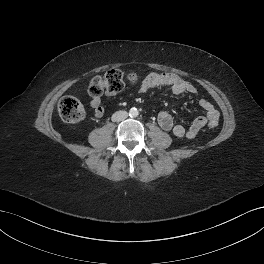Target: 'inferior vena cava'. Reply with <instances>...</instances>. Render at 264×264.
Masks as SVG:
<instances>
[{
    "instance_id": "inferior-vena-cava-1",
    "label": "inferior vena cava",
    "mask_w": 264,
    "mask_h": 264,
    "mask_svg": "<svg viewBox=\"0 0 264 264\" xmlns=\"http://www.w3.org/2000/svg\"><path fill=\"white\" fill-rule=\"evenodd\" d=\"M128 117V113L126 111H117L112 115L113 122H120L125 120Z\"/></svg>"
}]
</instances>
